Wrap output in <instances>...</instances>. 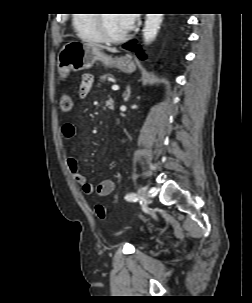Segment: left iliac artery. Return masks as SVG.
I'll return each instance as SVG.
<instances>
[{
	"label": "left iliac artery",
	"instance_id": "44dca946",
	"mask_svg": "<svg viewBox=\"0 0 252 303\" xmlns=\"http://www.w3.org/2000/svg\"><path fill=\"white\" fill-rule=\"evenodd\" d=\"M125 199L127 201L136 202L138 200V196L135 193H129L126 195Z\"/></svg>",
	"mask_w": 252,
	"mask_h": 303
}]
</instances>
